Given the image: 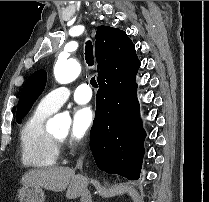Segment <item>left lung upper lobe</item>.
<instances>
[{
  "label": "left lung upper lobe",
  "mask_w": 209,
  "mask_h": 202,
  "mask_svg": "<svg viewBox=\"0 0 209 202\" xmlns=\"http://www.w3.org/2000/svg\"><path fill=\"white\" fill-rule=\"evenodd\" d=\"M47 81L45 70H38L33 73L26 81L19 97L16 112V121L21 123L22 118L31 109L33 103L43 92Z\"/></svg>",
  "instance_id": "left-lung-upper-lobe-1"
}]
</instances>
